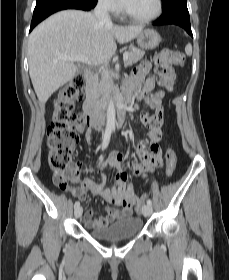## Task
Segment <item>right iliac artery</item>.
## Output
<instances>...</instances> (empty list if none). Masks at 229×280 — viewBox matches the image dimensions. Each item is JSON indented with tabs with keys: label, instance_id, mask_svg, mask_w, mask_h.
I'll list each match as a JSON object with an SVG mask.
<instances>
[{
	"label": "right iliac artery",
	"instance_id": "right-iliac-artery-1",
	"mask_svg": "<svg viewBox=\"0 0 229 280\" xmlns=\"http://www.w3.org/2000/svg\"><path fill=\"white\" fill-rule=\"evenodd\" d=\"M110 137H111V130H106L105 131V134H104V139H103V142H102V150L106 149V147L108 146L109 144V141H110ZM80 206V202L79 201H76L75 204H74V207H79Z\"/></svg>",
	"mask_w": 229,
	"mask_h": 280
}]
</instances>
